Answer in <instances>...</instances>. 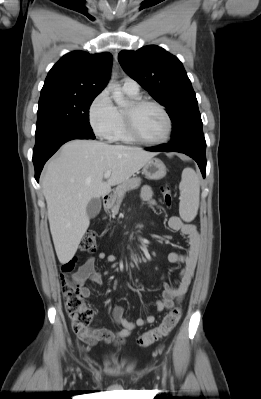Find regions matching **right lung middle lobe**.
<instances>
[{
    "mask_svg": "<svg viewBox=\"0 0 261 399\" xmlns=\"http://www.w3.org/2000/svg\"><path fill=\"white\" fill-rule=\"evenodd\" d=\"M97 95H47L39 99L36 134L56 126L92 132L89 107Z\"/></svg>",
    "mask_w": 261,
    "mask_h": 399,
    "instance_id": "obj_1",
    "label": "right lung middle lobe"
}]
</instances>
